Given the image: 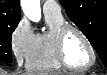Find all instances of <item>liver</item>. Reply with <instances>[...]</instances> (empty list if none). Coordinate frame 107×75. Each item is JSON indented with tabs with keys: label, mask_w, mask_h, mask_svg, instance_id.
Returning a JSON list of instances; mask_svg holds the SVG:
<instances>
[{
	"label": "liver",
	"mask_w": 107,
	"mask_h": 75,
	"mask_svg": "<svg viewBox=\"0 0 107 75\" xmlns=\"http://www.w3.org/2000/svg\"><path fill=\"white\" fill-rule=\"evenodd\" d=\"M12 75H20V74H12ZM21 75H29V73H24V74H21Z\"/></svg>",
	"instance_id": "6515ba94"
}]
</instances>
